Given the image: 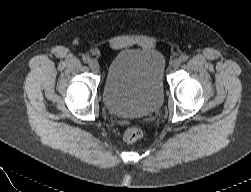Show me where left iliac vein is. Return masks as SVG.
Instances as JSON below:
<instances>
[{
	"label": "left iliac vein",
	"mask_w": 251,
	"mask_h": 192,
	"mask_svg": "<svg viewBox=\"0 0 251 192\" xmlns=\"http://www.w3.org/2000/svg\"><path fill=\"white\" fill-rule=\"evenodd\" d=\"M180 65H181L180 59H175V60L172 62V67H173L174 69L179 68Z\"/></svg>",
	"instance_id": "left-iliac-vein-1"
}]
</instances>
